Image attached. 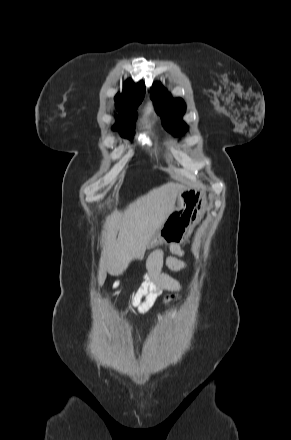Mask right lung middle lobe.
<instances>
[{"label":"right lung middle lobe","instance_id":"obj_1","mask_svg":"<svg viewBox=\"0 0 291 440\" xmlns=\"http://www.w3.org/2000/svg\"><path fill=\"white\" fill-rule=\"evenodd\" d=\"M119 116H117V122L114 129H118L121 133L122 137L132 139V136L134 134V123L137 118V113L134 111L132 112H119Z\"/></svg>","mask_w":291,"mask_h":440}]
</instances>
